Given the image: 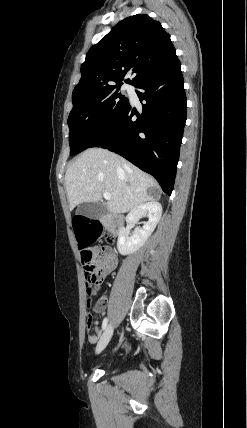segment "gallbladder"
I'll use <instances>...</instances> for the list:
<instances>
[{
	"label": "gallbladder",
	"instance_id": "bac80fb5",
	"mask_svg": "<svg viewBox=\"0 0 247 428\" xmlns=\"http://www.w3.org/2000/svg\"><path fill=\"white\" fill-rule=\"evenodd\" d=\"M107 205L101 202H84L77 207L76 214L89 219H98L105 214Z\"/></svg>",
	"mask_w": 247,
	"mask_h": 428
}]
</instances>
